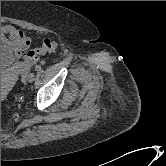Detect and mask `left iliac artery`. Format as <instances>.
<instances>
[{"label": "left iliac artery", "instance_id": "left-iliac-artery-1", "mask_svg": "<svg viewBox=\"0 0 166 166\" xmlns=\"http://www.w3.org/2000/svg\"><path fill=\"white\" fill-rule=\"evenodd\" d=\"M35 70H36V71H40V70H41V67L37 65V66H35Z\"/></svg>", "mask_w": 166, "mask_h": 166}]
</instances>
